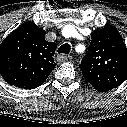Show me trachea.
Returning a JSON list of instances; mask_svg holds the SVG:
<instances>
[{
  "label": "trachea",
  "mask_w": 127,
  "mask_h": 127,
  "mask_svg": "<svg viewBox=\"0 0 127 127\" xmlns=\"http://www.w3.org/2000/svg\"><path fill=\"white\" fill-rule=\"evenodd\" d=\"M70 49H71L70 44L65 43V44H63L62 46H60V47L58 48V53L69 54Z\"/></svg>",
  "instance_id": "trachea-1"
}]
</instances>
